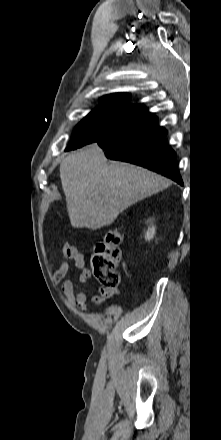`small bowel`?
Segmentation results:
<instances>
[{
  "instance_id": "small-bowel-1",
  "label": "small bowel",
  "mask_w": 221,
  "mask_h": 440,
  "mask_svg": "<svg viewBox=\"0 0 221 440\" xmlns=\"http://www.w3.org/2000/svg\"><path fill=\"white\" fill-rule=\"evenodd\" d=\"M62 256L63 261L53 272V278L55 281H63L62 289L69 303L74 304L81 311L88 312L86 294L83 292L75 294L73 282L69 279H65L71 269H77L80 271L78 283L85 284L88 281L91 277V272L85 267L84 256L76 246L68 242L62 246ZM115 295L116 291L114 289L101 287L96 294L92 295L91 300L97 305H104Z\"/></svg>"
}]
</instances>
